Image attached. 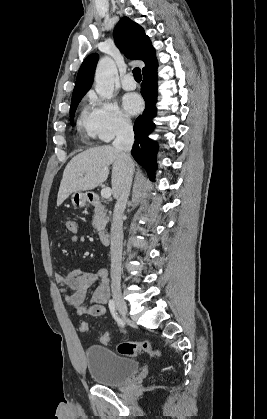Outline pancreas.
<instances>
[{"mask_svg": "<svg viewBox=\"0 0 267 419\" xmlns=\"http://www.w3.org/2000/svg\"><path fill=\"white\" fill-rule=\"evenodd\" d=\"M94 213L92 226L95 230L100 231L108 222L107 210L102 206H96Z\"/></svg>", "mask_w": 267, "mask_h": 419, "instance_id": "cf45deb5", "label": "pancreas"}]
</instances>
